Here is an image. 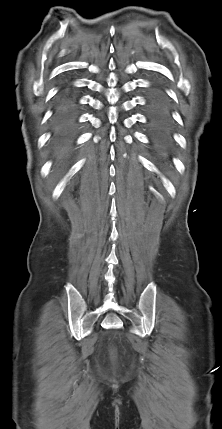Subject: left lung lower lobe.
<instances>
[{
	"label": "left lung lower lobe",
	"instance_id": "1",
	"mask_svg": "<svg viewBox=\"0 0 222 429\" xmlns=\"http://www.w3.org/2000/svg\"><path fill=\"white\" fill-rule=\"evenodd\" d=\"M146 112L153 143L157 147L167 145L173 132L171 105L164 87L158 82L148 89Z\"/></svg>",
	"mask_w": 222,
	"mask_h": 429
}]
</instances>
